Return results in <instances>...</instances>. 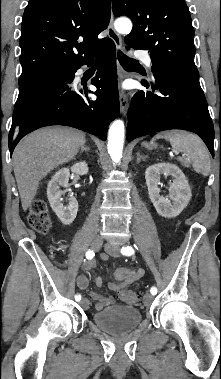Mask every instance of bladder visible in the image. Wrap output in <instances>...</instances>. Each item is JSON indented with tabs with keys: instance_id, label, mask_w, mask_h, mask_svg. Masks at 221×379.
<instances>
[{
	"instance_id": "31cf9c89",
	"label": "bladder",
	"mask_w": 221,
	"mask_h": 379,
	"mask_svg": "<svg viewBox=\"0 0 221 379\" xmlns=\"http://www.w3.org/2000/svg\"><path fill=\"white\" fill-rule=\"evenodd\" d=\"M142 320L141 312L134 307L112 305L92 315V321L112 336H123L136 329Z\"/></svg>"
}]
</instances>
